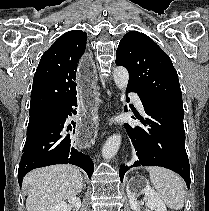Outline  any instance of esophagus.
I'll use <instances>...</instances> for the list:
<instances>
[{
    "instance_id": "1",
    "label": "esophagus",
    "mask_w": 209,
    "mask_h": 211,
    "mask_svg": "<svg viewBox=\"0 0 209 211\" xmlns=\"http://www.w3.org/2000/svg\"><path fill=\"white\" fill-rule=\"evenodd\" d=\"M95 64L90 56H83L82 64L78 67L75 78L77 79L76 106H78V117L76 120V133H73L72 141L75 145H81L82 149H87L88 145L95 144L97 133L96 101L97 89L94 86L96 74H94Z\"/></svg>"
}]
</instances>
